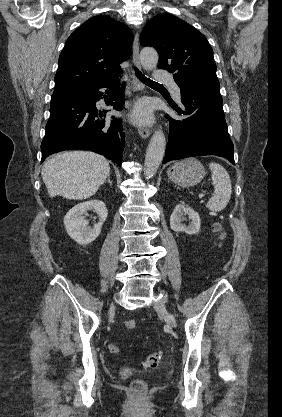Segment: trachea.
<instances>
[{"mask_svg":"<svg viewBox=\"0 0 282 417\" xmlns=\"http://www.w3.org/2000/svg\"><path fill=\"white\" fill-rule=\"evenodd\" d=\"M133 70L136 73V76L138 77V79L144 83L145 85H161V83H157L154 82L153 80H150V78L145 77V75H143L140 70H138L134 65L132 66Z\"/></svg>","mask_w":282,"mask_h":417,"instance_id":"trachea-1","label":"trachea"}]
</instances>
